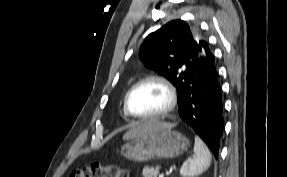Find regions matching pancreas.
Here are the masks:
<instances>
[{"label":"pancreas","mask_w":287,"mask_h":177,"mask_svg":"<svg viewBox=\"0 0 287 177\" xmlns=\"http://www.w3.org/2000/svg\"><path fill=\"white\" fill-rule=\"evenodd\" d=\"M159 169L160 167L159 166H156L155 168L154 167H144L143 168V176L144 177H157L158 174H159Z\"/></svg>","instance_id":"obj_1"}]
</instances>
